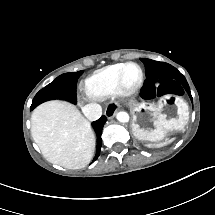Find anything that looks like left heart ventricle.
<instances>
[{
    "label": "left heart ventricle",
    "instance_id": "1",
    "mask_svg": "<svg viewBox=\"0 0 215 215\" xmlns=\"http://www.w3.org/2000/svg\"><path fill=\"white\" fill-rule=\"evenodd\" d=\"M122 69L124 71V76L128 82V85L130 86L137 78V70L132 66H128Z\"/></svg>",
    "mask_w": 215,
    "mask_h": 215
}]
</instances>
